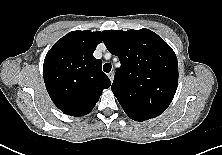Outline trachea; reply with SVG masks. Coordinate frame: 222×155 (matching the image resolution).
Wrapping results in <instances>:
<instances>
[{
  "mask_svg": "<svg viewBox=\"0 0 222 155\" xmlns=\"http://www.w3.org/2000/svg\"><path fill=\"white\" fill-rule=\"evenodd\" d=\"M112 69V65L110 63H105L103 66V71L109 73Z\"/></svg>",
  "mask_w": 222,
  "mask_h": 155,
  "instance_id": "obj_1",
  "label": "trachea"
}]
</instances>
